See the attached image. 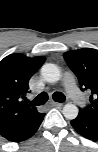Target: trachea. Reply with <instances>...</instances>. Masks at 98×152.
<instances>
[{
	"mask_svg": "<svg viewBox=\"0 0 98 152\" xmlns=\"http://www.w3.org/2000/svg\"><path fill=\"white\" fill-rule=\"evenodd\" d=\"M53 100L59 103H63L66 100V97L61 92L53 93ZM48 101V95L45 92L40 93L34 100L31 101L33 105L39 106L43 105Z\"/></svg>",
	"mask_w": 98,
	"mask_h": 152,
	"instance_id": "3493384b",
	"label": "trachea"
}]
</instances>
